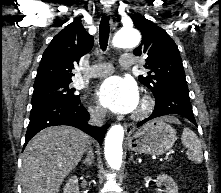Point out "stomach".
Returning <instances> with one entry per match:
<instances>
[{"label": "stomach", "mask_w": 221, "mask_h": 193, "mask_svg": "<svg viewBox=\"0 0 221 193\" xmlns=\"http://www.w3.org/2000/svg\"><path fill=\"white\" fill-rule=\"evenodd\" d=\"M176 141L175 129L164 119H155L140 127L128 139V148L136 153L161 155Z\"/></svg>", "instance_id": "obj_1"}]
</instances>
